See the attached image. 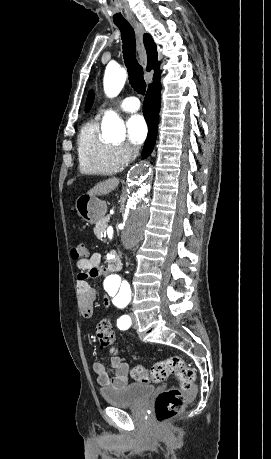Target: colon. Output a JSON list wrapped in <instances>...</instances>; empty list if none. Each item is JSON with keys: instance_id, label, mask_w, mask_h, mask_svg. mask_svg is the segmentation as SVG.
<instances>
[{"instance_id": "obj_1", "label": "colon", "mask_w": 271, "mask_h": 459, "mask_svg": "<svg viewBox=\"0 0 271 459\" xmlns=\"http://www.w3.org/2000/svg\"><path fill=\"white\" fill-rule=\"evenodd\" d=\"M88 249L84 241H79L71 248V257L74 260L86 258ZM96 336L102 347H109L115 351V333L111 323L107 319H100L96 325ZM132 377L142 383H159L166 380L170 375H175L179 380V386L170 388L160 393L155 400V419L158 423H164L178 415L185 403L190 401L196 394L195 371L189 367L182 357L170 356L147 368L137 365L132 369Z\"/></svg>"}]
</instances>
